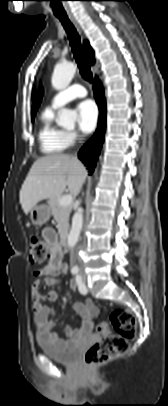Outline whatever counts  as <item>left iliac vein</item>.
Masks as SVG:
<instances>
[{"instance_id": "left-iliac-vein-1", "label": "left iliac vein", "mask_w": 168, "mask_h": 406, "mask_svg": "<svg viewBox=\"0 0 168 406\" xmlns=\"http://www.w3.org/2000/svg\"><path fill=\"white\" fill-rule=\"evenodd\" d=\"M82 277H83V282L85 284L86 283V276L83 274Z\"/></svg>"}]
</instances>
